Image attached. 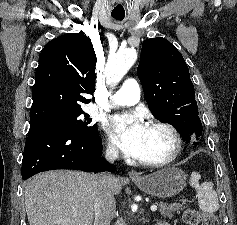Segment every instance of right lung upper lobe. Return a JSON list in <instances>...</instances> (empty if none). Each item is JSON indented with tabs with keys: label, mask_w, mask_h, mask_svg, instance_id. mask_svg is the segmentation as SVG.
<instances>
[{
	"label": "right lung upper lobe",
	"mask_w": 237,
	"mask_h": 225,
	"mask_svg": "<svg viewBox=\"0 0 237 225\" xmlns=\"http://www.w3.org/2000/svg\"><path fill=\"white\" fill-rule=\"evenodd\" d=\"M96 55L91 40L82 33L65 34L48 42L39 56L32 92L30 123L73 113L93 94Z\"/></svg>",
	"instance_id": "cb5924a9"
}]
</instances>
